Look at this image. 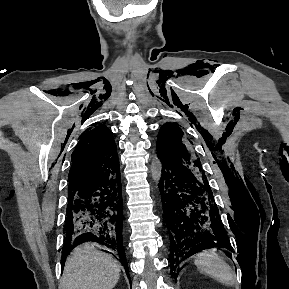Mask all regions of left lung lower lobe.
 Listing matches in <instances>:
<instances>
[{
    "instance_id": "obj_1",
    "label": "left lung lower lobe",
    "mask_w": 289,
    "mask_h": 289,
    "mask_svg": "<svg viewBox=\"0 0 289 289\" xmlns=\"http://www.w3.org/2000/svg\"><path fill=\"white\" fill-rule=\"evenodd\" d=\"M159 158V189L170 240L171 275L176 279L184 259L204 249L231 250V246L208 181L185 165Z\"/></svg>"
}]
</instances>
